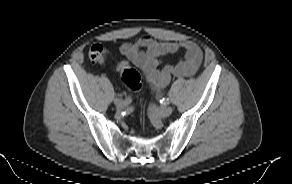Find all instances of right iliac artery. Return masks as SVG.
Instances as JSON below:
<instances>
[{
    "label": "right iliac artery",
    "instance_id": "1",
    "mask_svg": "<svg viewBox=\"0 0 292 184\" xmlns=\"http://www.w3.org/2000/svg\"><path fill=\"white\" fill-rule=\"evenodd\" d=\"M119 90L118 89H115V92H116V95L118 96L117 99L120 98V100H124L126 103H128L129 105L132 103L133 101V98H130V97H126V99L124 97H121L117 92Z\"/></svg>",
    "mask_w": 292,
    "mask_h": 184
}]
</instances>
